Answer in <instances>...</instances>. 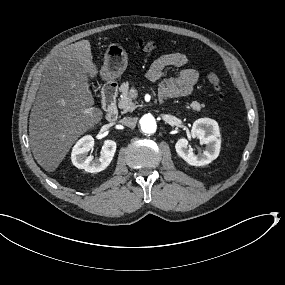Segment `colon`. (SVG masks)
Wrapping results in <instances>:
<instances>
[{
    "mask_svg": "<svg viewBox=\"0 0 285 285\" xmlns=\"http://www.w3.org/2000/svg\"><path fill=\"white\" fill-rule=\"evenodd\" d=\"M137 45H138L140 50H142L143 52H147V53L154 52L157 49V43L155 41H152V40L141 39L138 41ZM207 79H208L209 83L212 85V87L214 88V90L216 91L218 98L221 101H224L225 100V93L223 91L220 78L214 73H209L207 75Z\"/></svg>",
    "mask_w": 285,
    "mask_h": 285,
    "instance_id": "obj_1",
    "label": "colon"
}]
</instances>
